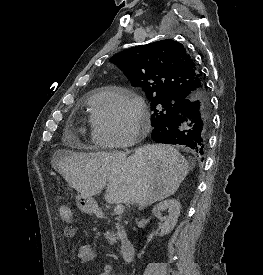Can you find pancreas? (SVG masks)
<instances>
[{"mask_svg": "<svg viewBox=\"0 0 263 275\" xmlns=\"http://www.w3.org/2000/svg\"><path fill=\"white\" fill-rule=\"evenodd\" d=\"M116 229L119 231L120 230V225L119 223L116 224ZM106 238L110 244H114L117 239V234H115L113 231H107L105 233Z\"/></svg>", "mask_w": 263, "mask_h": 275, "instance_id": "pancreas-1", "label": "pancreas"}]
</instances>
